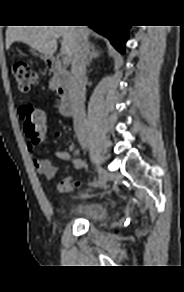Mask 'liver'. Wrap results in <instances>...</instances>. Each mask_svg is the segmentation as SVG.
<instances>
[{
  "label": "liver",
  "instance_id": "6515ba94",
  "mask_svg": "<svg viewBox=\"0 0 184 292\" xmlns=\"http://www.w3.org/2000/svg\"><path fill=\"white\" fill-rule=\"evenodd\" d=\"M77 26H9L6 31V47L23 42L39 53L51 57L57 50V39L62 37L61 52L71 61L79 33ZM87 36L90 30L85 27Z\"/></svg>",
  "mask_w": 184,
  "mask_h": 292
}]
</instances>
